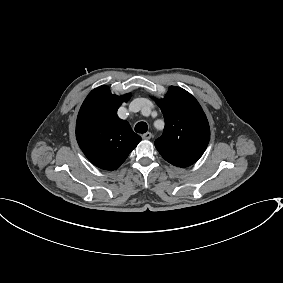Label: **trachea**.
<instances>
[{
	"mask_svg": "<svg viewBox=\"0 0 283 283\" xmlns=\"http://www.w3.org/2000/svg\"><path fill=\"white\" fill-rule=\"evenodd\" d=\"M148 130V125L145 122H139L135 125V131L137 133H146Z\"/></svg>",
	"mask_w": 283,
	"mask_h": 283,
	"instance_id": "trachea-1",
	"label": "trachea"
}]
</instances>
